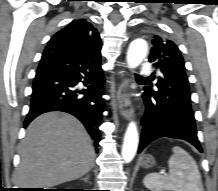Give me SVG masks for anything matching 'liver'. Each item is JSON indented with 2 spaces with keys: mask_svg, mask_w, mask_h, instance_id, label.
Listing matches in <instances>:
<instances>
[{
  "mask_svg": "<svg viewBox=\"0 0 218 191\" xmlns=\"http://www.w3.org/2000/svg\"><path fill=\"white\" fill-rule=\"evenodd\" d=\"M17 183L23 188H48L73 181L94 166L95 151L84 126L75 117L49 112L27 128L20 150Z\"/></svg>",
  "mask_w": 218,
  "mask_h": 191,
  "instance_id": "liver-1",
  "label": "liver"
}]
</instances>
